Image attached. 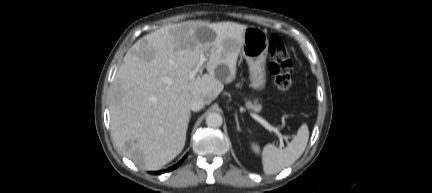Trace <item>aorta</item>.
<instances>
[{"instance_id":"obj_1","label":"aorta","mask_w":432,"mask_h":193,"mask_svg":"<svg viewBox=\"0 0 432 193\" xmlns=\"http://www.w3.org/2000/svg\"><path fill=\"white\" fill-rule=\"evenodd\" d=\"M223 118L219 113L211 112L206 117V124L211 128H218L222 125Z\"/></svg>"}]
</instances>
